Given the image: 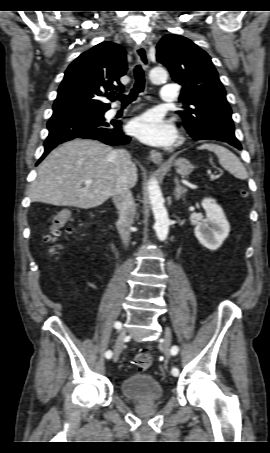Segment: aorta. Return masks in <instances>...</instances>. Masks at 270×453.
<instances>
[{"label":"aorta","mask_w":270,"mask_h":453,"mask_svg":"<svg viewBox=\"0 0 270 453\" xmlns=\"http://www.w3.org/2000/svg\"><path fill=\"white\" fill-rule=\"evenodd\" d=\"M167 77V71L162 67H155L150 71V79L153 83H161L165 81ZM148 193L155 219L154 228L156 235L160 241H164L169 232L170 221L164 206L161 189L155 178H151L148 182Z\"/></svg>","instance_id":"1"}]
</instances>
